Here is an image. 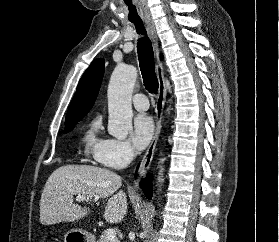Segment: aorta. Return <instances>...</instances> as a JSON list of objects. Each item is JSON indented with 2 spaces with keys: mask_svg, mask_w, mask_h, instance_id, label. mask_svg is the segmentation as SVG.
<instances>
[{
  "mask_svg": "<svg viewBox=\"0 0 279 242\" xmlns=\"http://www.w3.org/2000/svg\"><path fill=\"white\" fill-rule=\"evenodd\" d=\"M137 79V69L132 65L118 64L108 86V133L124 140L132 130L131 97ZM164 158L160 159L163 164ZM158 182L163 183V167L160 165Z\"/></svg>",
  "mask_w": 279,
  "mask_h": 242,
  "instance_id": "762f6f07",
  "label": "aorta"
}]
</instances>
